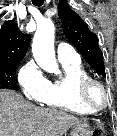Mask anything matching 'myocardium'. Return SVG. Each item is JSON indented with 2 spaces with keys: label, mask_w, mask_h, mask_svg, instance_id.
<instances>
[{
  "label": "myocardium",
  "mask_w": 117,
  "mask_h": 136,
  "mask_svg": "<svg viewBox=\"0 0 117 136\" xmlns=\"http://www.w3.org/2000/svg\"><path fill=\"white\" fill-rule=\"evenodd\" d=\"M94 87L98 88L103 95V100L100 103L94 102L91 98V90ZM76 96L82 105L93 112L105 109L111 101V95L104 84L90 76L78 80L76 84Z\"/></svg>",
  "instance_id": "f54148a6"
}]
</instances>
